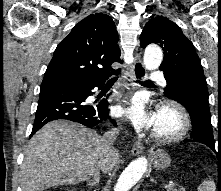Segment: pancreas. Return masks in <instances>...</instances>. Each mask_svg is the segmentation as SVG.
<instances>
[{
	"instance_id": "pancreas-1",
	"label": "pancreas",
	"mask_w": 221,
	"mask_h": 191,
	"mask_svg": "<svg viewBox=\"0 0 221 191\" xmlns=\"http://www.w3.org/2000/svg\"><path fill=\"white\" fill-rule=\"evenodd\" d=\"M167 191H184V189L180 188V189H177V188H168Z\"/></svg>"
}]
</instances>
